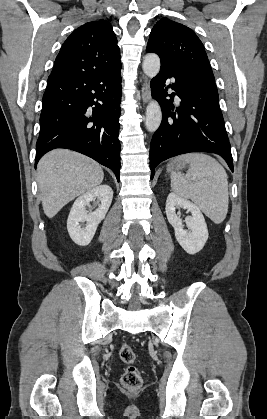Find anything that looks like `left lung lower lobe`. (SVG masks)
I'll return each mask as SVG.
<instances>
[{
  "label": "left lung lower lobe",
  "instance_id": "left-lung-lower-lobe-1",
  "mask_svg": "<svg viewBox=\"0 0 267 419\" xmlns=\"http://www.w3.org/2000/svg\"><path fill=\"white\" fill-rule=\"evenodd\" d=\"M168 78H174V81L166 88ZM150 86L152 96L160 103L163 113L161 125L154 133L150 146L151 179L160 162L189 152L219 154L233 171L231 147L219 107L215 79L186 69L161 66ZM168 88L175 93L168 95ZM175 95L181 99L179 106L173 104Z\"/></svg>",
  "mask_w": 267,
  "mask_h": 419
}]
</instances>
